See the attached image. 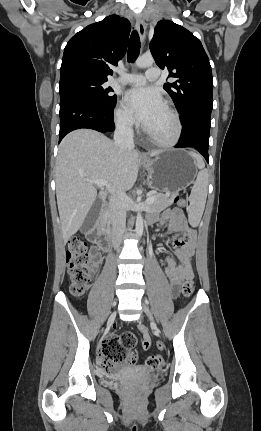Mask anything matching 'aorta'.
<instances>
[{
  "label": "aorta",
  "mask_w": 261,
  "mask_h": 431,
  "mask_svg": "<svg viewBox=\"0 0 261 431\" xmlns=\"http://www.w3.org/2000/svg\"><path fill=\"white\" fill-rule=\"evenodd\" d=\"M154 63V59L150 55H143L136 60V66L139 68H147L152 66ZM136 233L138 237H141L143 234V218L141 212H138L136 218Z\"/></svg>",
  "instance_id": "1"
}]
</instances>
